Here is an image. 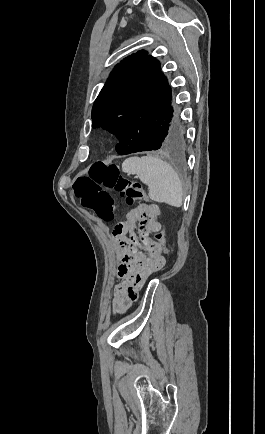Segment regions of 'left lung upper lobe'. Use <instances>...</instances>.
Wrapping results in <instances>:
<instances>
[{"label": "left lung upper lobe", "instance_id": "left-lung-upper-lobe-1", "mask_svg": "<svg viewBox=\"0 0 265 434\" xmlns=\"http://www.w3.org/2000/svg\"><path fill=\"white\" fill-rule=\"evenodd\" d=\"M171 88L160 63L138 51L117 64L92 109V127L119 141L160 125L172 109Z\"/></svg>", "mask_w": 265, "mask_h": 434}]
</instances>
